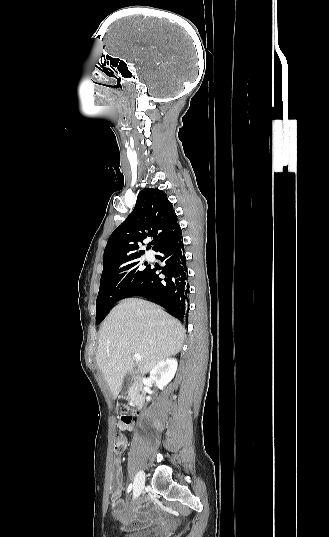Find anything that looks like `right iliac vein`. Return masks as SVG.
Here are the masks:
<instances>
[{"mask_svg":"<svg viewBox=\"0 0 329 537\" xmlns=\"http://www.w3.org/2000/svg\"><path fill=\"white\" fill-rule=\"evenodd\" d=\"M145 485V474L142 470H140L134 480V486H133V498L138 497Z\"/></svg>","mask_w":329,"mask_h":537,"instance_id":"right-iliac-vein-1","label":"right iliac vein"}]
</instances>
